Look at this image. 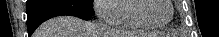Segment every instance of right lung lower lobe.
Segmentation results:
<instances>
[{
  "mask_svg": "<svg viewBox=\"0 0 219 37\" xmlns=\"http://www.w3.org/2000/svg\"><path fill=\"white\" fill-rule=\"evenodd\" d=\"M71 15L89 20L94 15L93 4L85 0H28L27 28L29 36L45 20Z\"/></svg>",
  "mask_w": 219,
  "mask_h": 37,
  "instance_id": "98d812e1",
  "label": "right lung lower lobe"
}]
</instances>
